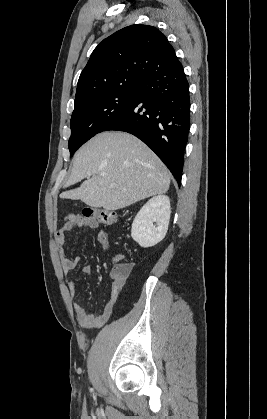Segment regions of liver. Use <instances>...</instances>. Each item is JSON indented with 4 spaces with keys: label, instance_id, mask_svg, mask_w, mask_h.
I'll list each match as a JSON object with an SVG mask.
<instances>
[{
    "label": "liver",
    "instance_id": "1",
    "mask_svg": "<svg viewBox=\"0 0 267 419\" xmlns=\"http://www.w3.org/2000/svg\"><path fill=\"white\" fill-rule=\"evenodd\" d=\"M103 174V175H102ZM87 177L60 197L118 210L168 191L170 172L141 140L125 132H103L76 153L65 188Z\"/></svg>",
    "mask_w": 267,
    "mask_h": 419
}]
</instances>
